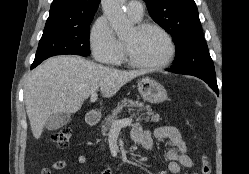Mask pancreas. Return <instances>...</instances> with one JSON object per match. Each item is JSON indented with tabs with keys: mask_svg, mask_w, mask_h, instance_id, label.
Here are the masks:
<instances>
[{
	"mask_svg": "<svg viewBox=\"0 0 249 174\" xmlns=\"http://www.w3.org/2000/svg\"><path fill=\"white\" fill-rule=\"evenodd\" d=\"M124 108L127 109L129 113L134 112L135 109H137V112L146 111L147 117L142 118L145 121L151 120L153 122H158L160 120V116L152 111L150 105H145L143 102L133 101L131 99H124L112 110V114L108 115L104 119L101 125V132L103 136L108 135V131L111 129L112 122L118 118L119 113H121Z\"/></svg>",
	"mask_w": 249,
	"mask_h": 174,
	"instance_id": "obj_1",
	"label": "pancreas"
}]
</instances>
